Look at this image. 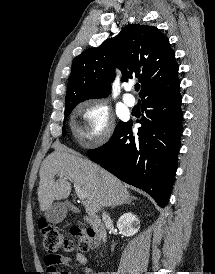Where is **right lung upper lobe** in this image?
I'll use <instances>...</instances> for the list:
<instances>
[{"label": "right lung upper lobe", "instance_id": "cb5924a9", "mask_svg": "<svg viewBox=\"0 0 215 274\" xmlns=\"http://www.w3.org/2000/svg\"><path fill=\"white\" fill-rule=\"evenodd\" d=\"M122 81L137 78L142 99L180 85L178 66L169 40L156 27L131 24L97 48H89L72 62L66 106L108 95L115 77Z\"/></svg>", "mask_w": 215, "mask_h": 274}]
</instances>
